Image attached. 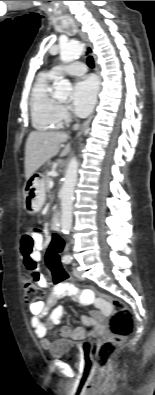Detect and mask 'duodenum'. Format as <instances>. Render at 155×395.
<instances>
[{"label":"duodenum","mask_w":155,"mask_h":395,"mask_svg":"<svg viewBox=\"0 0 155 395\" xmlns=\"http://www.w3.org/2000/svg\"><path fill=\"white\" fill-rule=\"evenodd\" d=\"M52 226L55 231L60 232L61 230V215L56 213L52 218Z\"/></svg>","instance_id":"410a0bca"}]
</instances>
